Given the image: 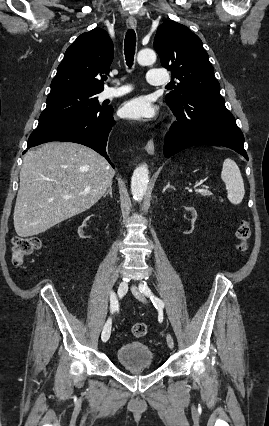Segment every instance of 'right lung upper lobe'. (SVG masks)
<instances>
[{"mask_svg":"<svg viewBox=\"0 0 269 426\" xmlns=\"http://www.w3.org/2000/svg\"><path fill=\"white\" fill-rule=\"evenodd\" d=\"M113 56V43L105 30L95 28L81 34L66 50L51 92L76 89L100 93L104 86L97 76L109 73Z\"/></svg>","mask_w":269,"mask_h":426,"instance_id":"1","label":"right lung upper lobe"}]
</instances>
